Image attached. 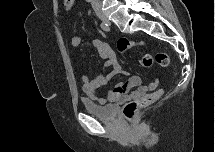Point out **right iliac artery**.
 <instances>
[{
	"label": "right iliac artery",
	"mask_w": 215,
	"mask_h": 152,
	"mask_svg": "<svg viewBox=\"0 0 215 152\" xmlns=\"http://www.w3.org/2000/svg\"><path fill=\"white\" fill-rule=\"evenodd\" d=\"M100 27H101L102 30H104V31H106V32L110 31V28H109V26H108L107 23L102 22V23L100 24Z\"/></svg>",
	"instance_id": "1"
}]
</instances>
